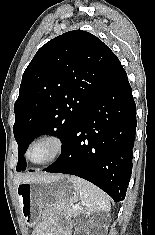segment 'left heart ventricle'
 <instances>
[{
    "label": "left heart ventricle",
    "instance_id": "left-heart-ventricle-1",
    "mask_svg": "<svg viewBox=\"0 0 155 235\" xmlns=\"http://www.w3.org/2000/svg\"><path fill=\"white\" fill-rule=\"evenodd\" d=\"M54 151L55 145L52 142H40L32 148L30 158L35 162H42L52 156Z\"/></svg>",
    "mask_w": 155,
    "mask_h": 235
}]
</instances>
